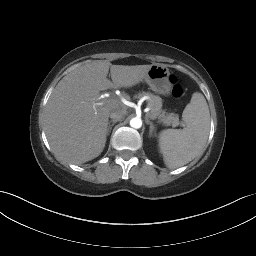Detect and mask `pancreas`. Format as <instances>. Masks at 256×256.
Segmentation results:
<instances>
[{
    "mask_svg": "<svg viewBox=\"0 0 256 256\" xmlns=\"http://www.w3.org/2000/svg\"><path fill=\"white\" fill-rule=\"evenodd\" d=\"M145 95L149 97L147 102L150 107V111L146 114L147 117L151 119H158V122L165 126L176 127L179 125V116L177 114L167 113L165 110H162V99L159 96L143 92L139 93L137 98H141Z\"/></svg>",
    "mask_w": 256,
    "mask_h": 256,
    "instance_id": "pancreas-1",
    "label": "pancreas"
}]
</instances>
